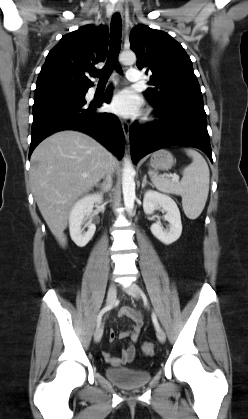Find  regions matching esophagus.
<instances>
[{
  "mask_svg": "<svg viewBox=\"0 0 248 419\" xmlns=\"http://www.w3.org/2000/svg\"><path fill=\"white\" fill-rule=\"evenodd\" d=\"M114 12H122L123 7L121 5H116L114 7ZM122 129L125 135L126 140H129V133H130V124L127 121H121Z\"/></svg>",
  "mask_w": 248,
  "mask_h": 419,
  "instance_id": "obj_1",
  "label": "esophagus"
}]
</instances>
